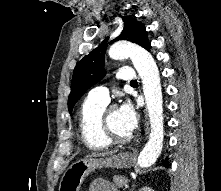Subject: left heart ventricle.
Segmentation results:
<instances>
[{
  "label": "left heart ventricle",
  "instance_id": "1",
  "mask_svg": "<svg viewBox=\"0 0 221 191\" xmlns=\"http://www.w3.org/2000/svg\"><path fill=\"white\" fill-rule=\"evenodd\" d=\"M109 123L113 130L121 136H128L131 133L126 131L122 125L119 110H114L111 112L109 117Z\"/></svg>",
  "mask_w": 221,
  "mask_h": 191
}]
</instances>
